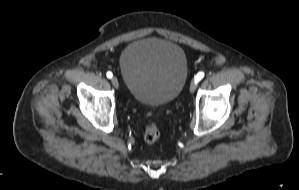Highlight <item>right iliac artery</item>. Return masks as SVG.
I'll return each mask as SVG.
<instances>
[{"label":"right iliac artery","mask_w":299,"mask_h":190,"mask_svg":"<svg viewBox=\"0 0 299 190\" xmlns=\"http://www.w3.org/2000/svg\"><path fill=\"white\" fill-rule=\"evenodd\" d=\"M106 76H107L108 78H112L113 74H112V72L109 71V72H107Z\"/></svg>","instance_id":"1"}]
</instances>
